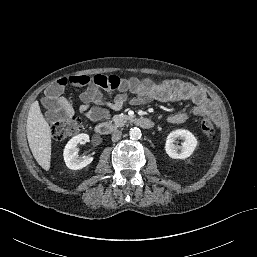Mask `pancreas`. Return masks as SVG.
<instances>
[{"label":"pancreas","instance_id":"pancreas-1","mask_svg":"<svg viewBox=\"0 0 257 257\" xmlns=\"http://www.w3.org/2000/svg\"><path fill=\"white\" fill-rule=\"evenodd\" d=\"M129 119H130V117L128 115H124V114H117V115H114L112 118L114 125L116 127L124 125L127 122V120H129Z\"/></svg>","mask_w":257,"mask_h":257}]
</instances>
